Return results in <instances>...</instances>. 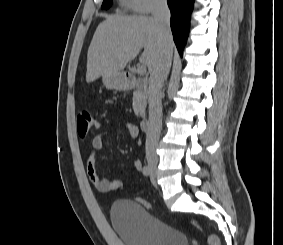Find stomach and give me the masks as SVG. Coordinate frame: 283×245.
Instances as JSON below:
<instances>
[{
	"instance_id": "0dacf381",
	"label": "stomach",
	"mask_w": 283,
	"mask_h": 245,
	"mask_svg": "<svg viewBox=\"0 0 283 245\" xmlns=\"http://www.w3.org/2000/svg\"><path fill=\"white\" fill-rule=\"evenodd\" d=\"M103 83L108 89H122L125 86V78L121 72H110L103 75Z\"/></svg>"
}]
</instances>
